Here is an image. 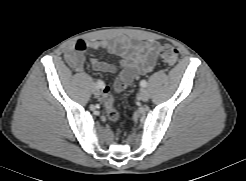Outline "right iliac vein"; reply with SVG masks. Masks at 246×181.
I'll return each mask as SVG.
<instances>
[{
    "label": "right iliac vein",
    "instance_id": "1",
    "mask_svg": "<svg viewBox=\"0 0 246 181\" xmlns=\"http://www.w3.org/2000/svg\"><path fill=\"white\" fill-rule=\"evenodd\" d=\"M93 94H94L95 96H99V95H100V89H99L98 87H95V88L93 89Z\"/></svg>",
    "mask_w": 246,
    "mask_h": 181
}]
</instances>
